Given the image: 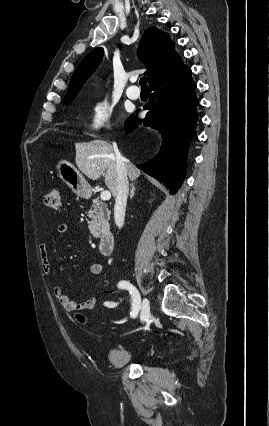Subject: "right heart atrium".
Returning <instances> with one entry per match:
<instances>
[{
    "mask_svg": "<svg viewBox=\"0 0 269 426\" xmlns=\"http://www.w3.org/2000/svg\"><path fill=\"white\" fill-rule=\"evenodd\" d=\"M113 106L104 96L95 98L89 106L84 129L88 133H98L111 127Z\"/></svg>",
    "mask_w": 269,
    "mask_h": 426,
    "instance_id": "d8ad5b80",
    "label": "right heart atrium"
}]
</instances>
